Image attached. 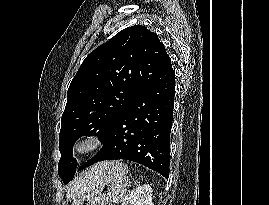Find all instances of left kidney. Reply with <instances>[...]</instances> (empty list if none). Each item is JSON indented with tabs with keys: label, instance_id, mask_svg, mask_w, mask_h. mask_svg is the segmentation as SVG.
Segmentation results:
<instances>
[{
	"label": "left kidney",
	"instance_id": "5707ae66",
	"mask_svg": "<svg viewBox=\"0 0 269 205\" xmlns=\"http://www.w3.org/2000/svg\"><path fill=\"white\" fill-rule=\"evenodd\" d=\"M122 205H153L151 186L144 184L135 188L124 198Z\"/></svg>",
	"mask_w": 269,
	"mask_h": 205
}]
</instances>
